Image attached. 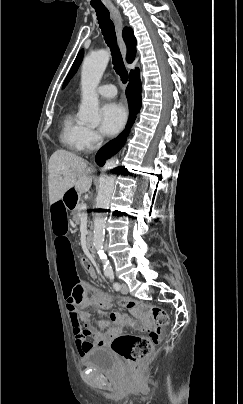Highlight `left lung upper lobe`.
<instances>
[{"instance_id": "1", "label": "left lung upper lobe", "mask_w": 243, "mask_h": 404, "mask_svg": "<svg viewBox=\"0 0 243 404\" xmlns=\"http://www.w3.org/2000/svg\"><path fill=\"white\" fill-rule=\"evenodd\" d=\"M83 54H84V51L80 50L77 57H76V59H75V61H74V63H73V65H72V67H71V69H70V71H69V73H68V75H67V77H66V79H65V81H64L63 88L67 85L68 81L76 73V71H77V69H78V67H79V65H80V63L82 61Z\"/></svg>"}]
</instances>
